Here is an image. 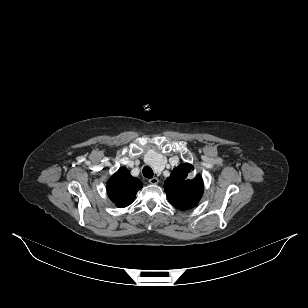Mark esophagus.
I'll list each match as a JSON object with an SVG mask.
<instances>
[{
    "instance_id": "obj_1",
    "label": "esophagus",
    "mask_w": 308,
    "mask_h": 308,
    "mask_svg": "<svg viewBox=\"0 0 308 308\" xmlns=\"http://www.w3.org/2000/svg\"><path fill=\"white\" fill-rule=\"evenodd\" d=\"M158 182H159V179L157 177H153L149 179V183L151 184H158Z\"/></svg>"
}]
</instances>
